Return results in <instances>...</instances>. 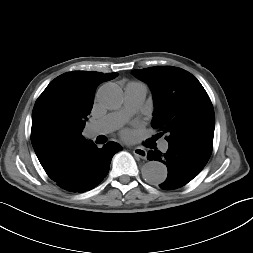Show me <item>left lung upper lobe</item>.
Wrapping results in <instances>:
<instances>
[{"label":"left lung upper lobe","mask_w":253,"mask_h":253,"mask_svg":"<svg viewBox=\"0 0 253 253\" xmlns=\"http://www.w3.org/2000/svg\"><path fill=\"white\" fill-rule=\"evenodd\" d=\"M132 72L152 90L155 106L152 127L167 133L168 143H185L211 152L214 109L197 78L173 66Z\"/></svg>","instance_id":"5c2ea615"}]
</instances>
